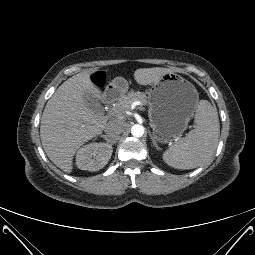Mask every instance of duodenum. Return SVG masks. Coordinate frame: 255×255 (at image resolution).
Here are the masks:
<instances>
[{
	"label": "duodenum",
	"instance_id": "410a0bca",
	"mask_svg": "<svg viewBox=\"0 0 255 255\" xmlns=\"http://www.w3.org/2000/svg\"><path fill=\"white\" fill-rule=\"evenodd\" d=\"M118 93V88L115 86H110L102 94V101L104 103L110 102Z\"/></svg>",
	"mask_w": 255,
	"mask_h": 255
}]
</instances>
